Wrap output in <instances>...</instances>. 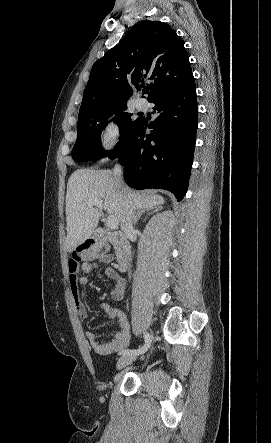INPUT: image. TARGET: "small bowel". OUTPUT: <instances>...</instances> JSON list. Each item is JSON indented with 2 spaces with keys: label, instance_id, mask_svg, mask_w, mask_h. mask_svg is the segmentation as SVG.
<instances>
[{
  "label": "small bowel",
  "instance_id": "obj_1",
  "mask_svg": "<svg viewBox=\"0 0 271 443\" xmlns=\"http://www.w3.org/2000/svg\"><path fill=\"white\" fill-rule=\"evenodd\" d=\"M103 268L106 276L112 280L113 286L111 297L115 301L123 300L126 292L125 280L116 273L112 268L100 266L92 263L76 264L70 260L69 262V283L70 290L74 299L77 313L81 319L87 318V309L83 303L79 291V286L86 285L88 278L85 275H79L80 272L88 274L96 268ZM101 308L105 315L111 320H117V329L114 339L109 342L100 341L92 332H87L86 336L91 348L100 355H110L126 348L131 340L130 326L125 315L117 308L112 307L108 303H102Z\"/></svg>",
  "mask_w": 271,
  "mask_h": 443
}]
</instances>
